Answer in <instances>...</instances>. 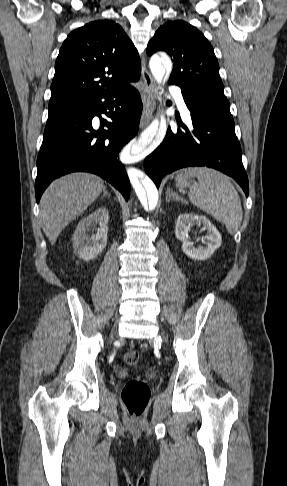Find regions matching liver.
<instances>
[{"instance_id": "liver-1", "label": "liver", "mask_w": 287, "mask_h": 486, "mask_svg": "<svg viewBox=\"0 0 287 486\" xmlns=\"http://www.w3.org/2000/svg\"><path fill=\"white\" fill-rule=\"evenodd\" d=\"M103 180L89 173H72L53 181L40 200L42 229L53 245L62 230L101 194Z\"/></svg>"}]
</instances>
